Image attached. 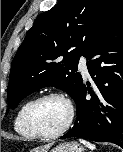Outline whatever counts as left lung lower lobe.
Here are the masks:
<instances>
[{"instance_id": "obj_1", "label": "left lung lower lobe", "mask_w": 123, "mask_h": 152, "mask_svg": "<svg viewBox=\"0 0 123 152\" xmlns=\"http://www.w3.org/2000/svg\"><path fill=\"white\" fill-rule=\"evenodd\" d=\"M87 59L96 87L86 89L82 84L74 99L76 122L60 139L80 137L123 148V2L109 17Z\"/></svg>"}]
</instances>
